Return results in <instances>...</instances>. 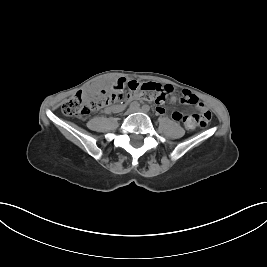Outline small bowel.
<instances>
[{"instance_id":"small-bowel-1","label":"small bowel","mask_w":267,"mask_h":267,"mask_svg":"<svg viewBox=\"0 0 267 267\" xmlns=\"http://www.w3.org/2000/svg\"><path fill=\"white\" fill-rule=\"evenodd\" d=\"M133 98H139V97H133ZM171 101L172 102H175L176 101V97L175 96H173L172 98H171ZM200 106L201 107H203V108H206V106L203 104V103H200ZM124 109V106L123 105H116V106H114V107H112L110 110H108V112H116V111H122ZM207 109V108H206ZM157 111L160 113V114H164L165 113V110H164V108H162V107H158L157 108ZM179 116V118H176V117H178ZM190 116V115H189ZM189 116H183L180 112H173L172 113V119L174 120V121H183L184 122V125H185V127L187 128V129H189V130H194L195 129V127H196V125L195 124H193L192 122H190L189 121Z\"/></svg>"}]
</instances>
